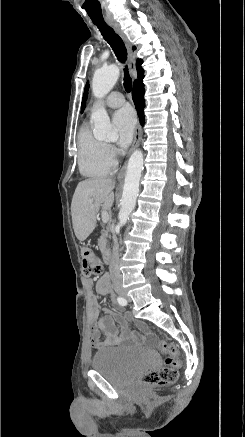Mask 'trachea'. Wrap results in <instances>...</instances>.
Listing matches in <instances>:
<instances>
[{
  "label": "trachea",
  "mask_w": 245,
  "mask_h": 437,
  "mask_svg": "<svg viewBox=\"0 0 245 437\" xmlns=\"http://www.w3.org/2000/svg\"><path fill=\"white\" fill-rule=\"evenodd\" d=\"M98 27L104 39L112 47L118 60L125 64L127 60V49L123 40L115 33L114 29L104 21H93ZM124 88L129 93L132 90V79L128 72V67H124Z\"/></svg>",
  "instance_id": "trachea-1"
}]
</instances>
